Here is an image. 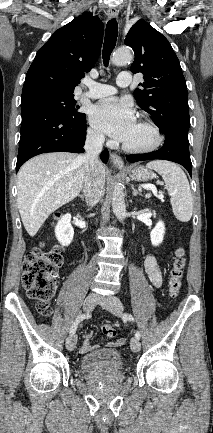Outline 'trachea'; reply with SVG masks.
Returning a JSON list of instances; mask_svg holds the SVG:
<instances>
[{"label": "trachea", "mask_w": 213, "mask_h": 433, "mask_svg": "<svg viewBox=\"0 0 213 433\" xmlns=\"http://www.w3.org/2000/svg\"><path fill=\"white\" fill-rule=\"evenodd\" d=\"M118 34V24L115 18L108 21L106 26L105 40L103 45L102 57L105 66H108L110 55L116 45Z\"/></svg>", "instance_id": "1"}]
</instances>
